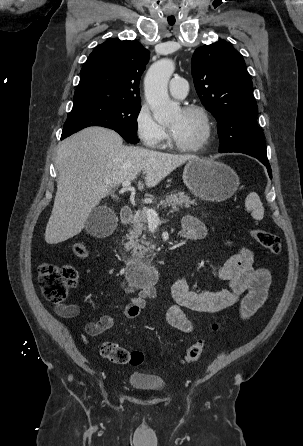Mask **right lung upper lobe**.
<instances>
[{"label": "right lung upper lobe", "instance_id": "cb5924a9", "mask_svg": "<svg viewBox=\"0 0 303 446\" xmlns=\"http://www.w3.org/2000/svg\"><path fill=\"white\" fill-rule=\"evenodd\" d=\"M149 56L136 40L98 45L81 69L73 108L112 101L140 103L139 80Z\"/></svg>", "mask_w": 303, "mask_h": 446}]
</instances>
